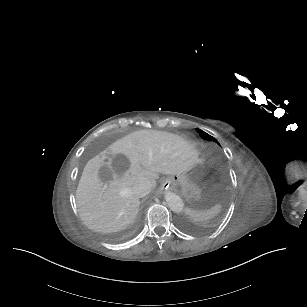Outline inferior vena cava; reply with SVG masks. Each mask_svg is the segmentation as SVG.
I'll return each mask as SVG.
<instances>
[{"instance_id":"1","label":"inferior vena cava","mask_w":307,"mask_h":307,"mask_svg":"<svg viewBox=\"0 0 307 307\" xmlns=\"http://www.w3.org/2000/svg\"><path fill=\"white\" fill-rule=\"evenodd\" d=\"M132 190L134 194L137 195L138 197H145L151 192L152 183L146 177L140 178L138 181L135 182V184L132 187Z\"/></svg>"}]
</instances>
